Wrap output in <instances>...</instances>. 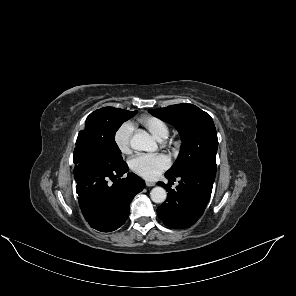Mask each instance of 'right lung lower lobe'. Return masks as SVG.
I'll return each mask as SVG.
<instances>
[{"mask_svg":"<svg viewBox=\"0 0 296 296\" xmlns=\"http://www.w3.org/2000/svg\"><path fill=\"white\" fill-rule=\"evenodd\" d=\"M73 162L78 202L86 221L101 232L121 227L129 216L130 202L143 190L145 182L134 173L121 178L128 171L125 162L113 165L100 152L83 144L76 145Z\"/></svg>","mask_w":296,"mask_h":296,"instance_id":"obj_1","label":"right lung lower lobe"}]
</instances>
